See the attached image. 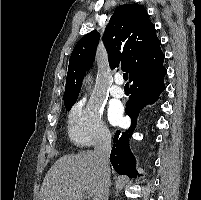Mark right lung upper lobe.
I'll return each instance as SVG.
<instances>
[{
	"label": "right lung upper lobe",
	"instance_id": "1",
	"mask_svg": "<svg viewBox=\"0 0 201 200\" xmlns=\"http://www.w3.org/2000/svg\"><path fill=\"white\" fill-rule=\"evenodd\" d=\"M99 40L100 34L94 30L73 49L64 101L78 98L83 77L94 61ZM102 40L110 66L115 68L121 64V68L129 73L130 82L163 65L164 54L155 27L145 8L137 3L121 5L114 11Z\"/></svg>",
	"mask_w": 201,
	"mask_h": 200
}]
</instances>
